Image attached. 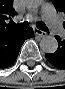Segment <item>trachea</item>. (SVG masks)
<instances>
[{
	"instance_id": "3493384b",
	"label": "trachea",
	"mask_w": 65,
	"mask_h": 89,
	"mask_svg": "<svg viewBox=\"0 0 65 89\" xmlns=\"http://www.w3.org/2000/svg\"><path fill=\"white\" fill-rule=\"evenodd\" d=\"M37 27L42 30V31H49L48 28L45 26V24L41 21L37 22L36 23ZM13 26L15 28H18V29H27L28 26H29V23L28 22H23V23H20V24H13Z\"/></svg>"
}]
</instances>
